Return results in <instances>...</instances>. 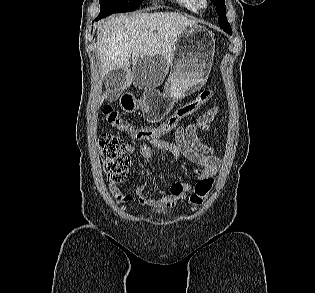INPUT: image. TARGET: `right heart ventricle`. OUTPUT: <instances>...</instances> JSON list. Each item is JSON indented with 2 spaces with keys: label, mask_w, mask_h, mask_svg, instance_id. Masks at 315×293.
Masks as SVG:
<instances>
[{
  "label": "right heart ventricle",
  "mask_w": 315,
  "mask_h": 293,
  "mask_svg": "<svg viewBox=\"0 0 315 293\" xmlns=\"http://www.w3.org/2000/svg\"><path fill=\"white\" fill-rule=\"evenodd\" d=\"M187 12L198 14L200 11L199 0H172Z\"/></svg>",
  "instance_id": "obj_1"
}]
</instances>
